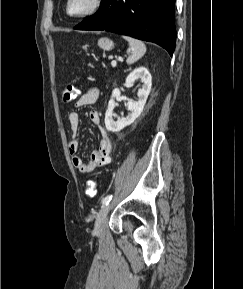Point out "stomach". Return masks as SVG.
Wrapping results in <instances>:
<instances>
[{"instance_id":"stomach-1","label":"stomach","mask_w":243,"mask_h":289,"mask_svg":"<svg viewBox=\"0 0 243 289\" xmlns=\"http://www.w3.org/2000/svg\"><path fill=\"white\" fill-rule=\"evenodd\" d=\"M98 46L104 50H111L114 47V43L109 38L103 37L98 40Z\"/></svg>"}]
</instances>
